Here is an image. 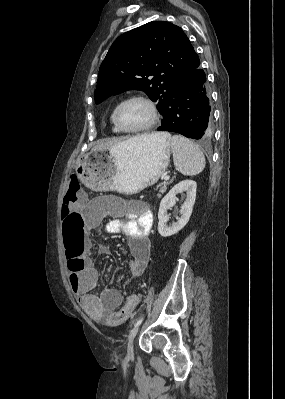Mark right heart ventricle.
Listing matches in <instances>:
<instances>
[{
    "label": "right heart ventricle",
    "mask_w": 285,
    "mask_h": 399,
    "mask_svg": "<svg viewBox=\"0 0 285 399\" xmlns=\"http://www.w3.org/2000/svg\"><path fill=\"white\" fill-rule=\"evenodd\" d=\"M118 104H116L111 112L110 115V122L112 124V131L114 133H121L122 131L117 127L116 123H115V110Z\"/></svg>",
    "instance_id": "obj_1"
}]
</instances>
